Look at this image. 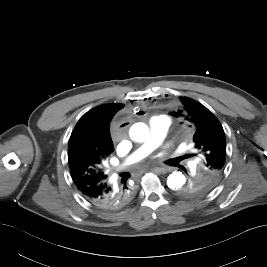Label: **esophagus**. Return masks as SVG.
I'll use <instances>...</instances> for the list:
<instances>
[{
	"mask_svg": "<svg viewBox=\"0 0 267 267\" xmlns=\"http://www.w3.org/2000/svg\"><path fill=\"white\" fill-rule=\"evenodd\" d=\"M152 171L158 173V174H164L169 171V168L167 167H153Z\"/></svg>",
	"mask_w": 267,
	"mask_h": 267,
	"instance_id": "34e87169",
	"label": "esophagus"
}]
</instances>
